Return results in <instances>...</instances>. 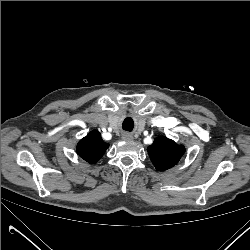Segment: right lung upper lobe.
Instances as JSON below:
<instances>
[{
    "instance_id": "cb5924a9",
    "label": "right lung upper lobe",
    "mask_w": 250,
    "mask_h": 250,
    "mask_svg": "<svg viewBox=\"0 0 250 250\" xmlns=\"http://www.w3.org/2000/svg\"><path fill=\"white\" fill-rule=\"evenodd\" d=\"M109 144L105 143L98 131H91L77 144V153L85 161L96 163L104 154Z\"/></svg>"
}]
</instances>
